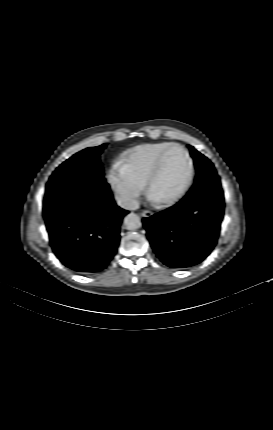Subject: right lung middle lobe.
Segmentation results:
<instances>
[{
    "mask_svg": "<svg viewBox=\"0 0 273 430\" xmlns=\"http://www.w3.org/2000/svg\"><path fill=\"white\" fill-rule=\"evenodd\" d=\"M106 144L91 147L73 155L60 165L46 186L43 205L46 206L71 194L88 190H106L100 154Z\"/></svg>",
    "mask_w": 273,
    "mask_h": 430,
    "instance_id": "obj_1",
    "label": "right lung middle lobe"
}]
</instances>
